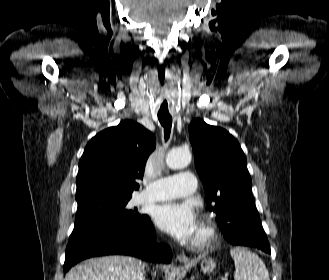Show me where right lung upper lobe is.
<instances>
[{
  "instance_id": "right-lung-upper-lobe-1",
  "label": "right lung upper lobe",
  "mask_w": 329,
  "mask_h": 280,
  "mask_svg": "<svg viewBox=\"0 0 329 280\" xmlns=\"http://www.w3.org/2000/svg\"><path fill=\"white\" fill-rule=\"evenodd\" d=\"M154 135L142 125L124 120L93 137L85 147L76 178L80 199L91 195L131 197L142 179Z\"/></svg>"
}]
</instances>
